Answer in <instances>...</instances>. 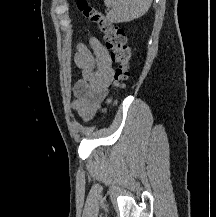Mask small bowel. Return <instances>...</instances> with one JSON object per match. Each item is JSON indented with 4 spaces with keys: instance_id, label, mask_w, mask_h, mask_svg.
I'll list each match as a JSON object with an SVG mask.
<instances>
[{
    "instance_id": "1",
    "label": "small bowel",
    "mask_w": 216,
    "mask_h": 217,
    "mask_svg": "<svg viewBox=\"0 0 216 217\" xmlns=\"http://www.w3.org/2000/svg\"><path fill=\"white\" fill-rule=\"evenodd\" d=\"M82 77L75 84V100L71 107L83 121L91 120L97 113L114 78L113 57L98 39L91 37L89 46L77 45L74 56Z\"/></svg>"
}]
</instances>
